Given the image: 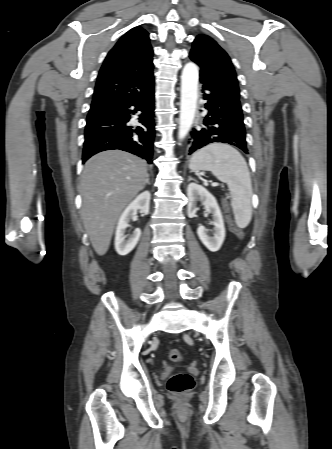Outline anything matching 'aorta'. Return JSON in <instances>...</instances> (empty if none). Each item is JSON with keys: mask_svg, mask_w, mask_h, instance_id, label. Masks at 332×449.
<instances>
[{"mask_svg": "<svg viewBox=\"0 0 332 449\" xmlns=\"http://www.w3.org/2000/svg\"><path fill=\"white\" fill-rule=\"evenodd\" d=\"M198 81V66L192 62L187 63L181 75L179 140H183L186 137L193 124L197 106Z\"/></svg>", "mask_w": 332, "mask_h": 449, "instance_id": "762f6f07", "label": "aorta"}]
</instances>
